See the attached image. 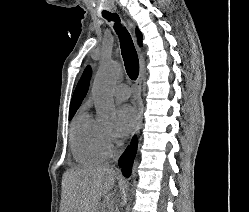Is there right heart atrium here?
Here are the masks:
<instances>
[{
  "mask_svg": "<svg viewBox=\"0 0 249 212\" xmlns=\"http://www.w3.org/2000/svg\"><path fill=\"white\" fill-rule=\"evenodd\" d=\"M100 145L104 154V159H109L114 155L115 142L109 130L102 128L100 132Z\"/></svg>",
  "mask_w": 249,
  "mask_h": 212,
  "instance_id": "1",
  "label": "right heart atrium"
}]
</instances>
